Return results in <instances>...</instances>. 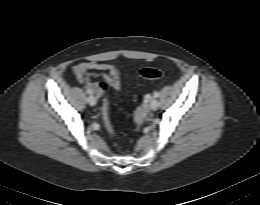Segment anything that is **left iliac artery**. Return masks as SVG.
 Listing matches in <instances>:
<instances>
[{"mask_svg":"<svg viewBox=\"0 0 260 205\" xmlns=\"http://www.w3.org/2000/svg\"><path fill=\"white\" fill-rule=\"evenodd\" d=\"M154 97H155V98L159 97V92H158V91H155V92H154Z\"/></svg>","mask_w":260,"mask_h":205,"instance_id":"1","label":"left iliac artery"}]
</instances>
